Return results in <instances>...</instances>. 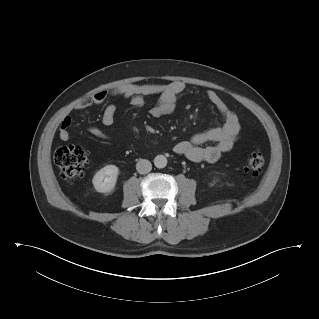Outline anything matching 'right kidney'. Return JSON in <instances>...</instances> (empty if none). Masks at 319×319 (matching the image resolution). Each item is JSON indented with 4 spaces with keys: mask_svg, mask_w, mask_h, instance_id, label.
Here are the masks:
<instances>
[{
    "mask_svg": "<svg viewBox=\"0 0 319 319\" xmlns=\"http://www.w3.org/2000/svg\"><path fill=\"white\" fill-rule=\"evenodd\" d=\"M119 169L115 165H106L93 177V185L96 191L107 193L113 190L116 185Z\"/></svg>",
    "mask_w": 319,
    "mask_h": 319,
    "instance_id": "1",
    "label": "right kidney"
}]
</instances>
